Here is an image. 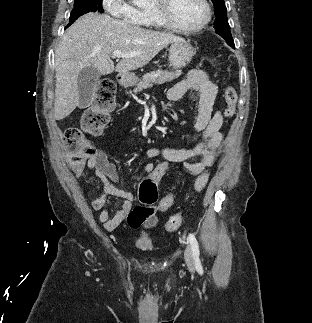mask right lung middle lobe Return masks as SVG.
Here are the masks:
<instances>
[{
  "label": "right lung middle lobe",
  "instance_id": "dd1d6c3e",
  "mask_svg": "<svg viewBox=\"0 0 312 323\" xmlns=\"http://www.w3.org/2000/svg\"><path fill=\"white\" fill-rule=\"evenodd\" d=\"M88 12H100L103 13L102 0H74V8L70 14L71 25L78 17Z\"/></svg>",
  "mask_w": 312,
  "mask_h": 323
}]
</instances>
